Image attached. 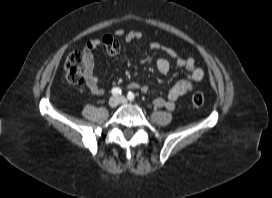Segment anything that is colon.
Returning a JSON list of instances; mask_svg holds the SVG:
<instances>
[{"mask_svg": "<svg viewBox=\"0 0 272 198\" xmlns=\"http://www.w3.org/2000/svg\"><path fill=\"white\" fill-rule=\"evenodd\" d=\"M85 59L83 52L75 48L69 52L65 60V77L72 85H81L85 79ZM204 103V96L200 92L192 95V104L201 107Z\"/></svg>", "mask_w": 272, "mask_h": 198, "instance_id": "5ec220e1", "label": "colon"}]
</instances>
